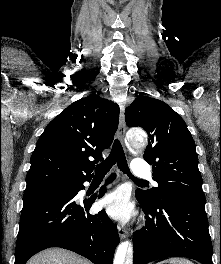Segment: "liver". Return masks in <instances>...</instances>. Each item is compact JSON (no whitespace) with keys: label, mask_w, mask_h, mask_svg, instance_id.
Segmentation results:
<instances>
[{"label":"liver","mask_w":221,"mask_h":264,"mask_svg":"<svg viewBox=\"0 0 221 264\" xmlns=\"http://www.w3.org/2000/svg\"><path fill=\"white\" fill-rule=\"evenodd\" d=\"M27 264H92L87 259L64 249L52 248L33 256Z\"/></svg>","instance_id":"1"}]
</instances>
